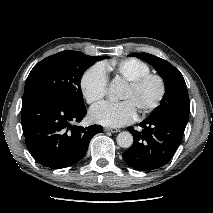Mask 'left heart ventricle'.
Returning <instances> with one entry per match:
<instances>
[{"label": "left heart ventricle", "mask_w": 213, "mask_h": 213, "mask_svg": "<svg viewBox=\"0 0 213 213\" xmlns=\"http://www.w3.org/2000/svg\"><path fill=\"white\" fill-rule=\"evenodd\" d=\"M157 92V84L150 81L139 90H132L129 86H127L122 95V99L130 100L134 104L136 110L139 111L156 96Z\"/></svg>", "instance_id": "b2bd125f"}]
</instances>
